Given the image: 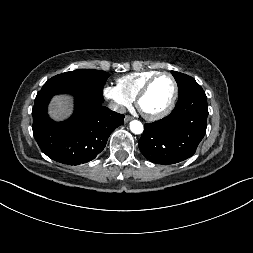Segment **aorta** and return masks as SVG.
<instances>
[{"label": "aorta", "mask_w": 253, "mask_h": 253, "mask_svg": "<svg viewBox=\"0 0 253 253\" xmlns=\"http://www.w3.org/2000/svg\"><path fill=\"white\" fill-rule=\"evenodd\" d=\"M130 130L134 134H141L143 132V125L138 120H133L130 122Z\"/></svg>", "instance_id": "aorta-1"}]
</instances>
